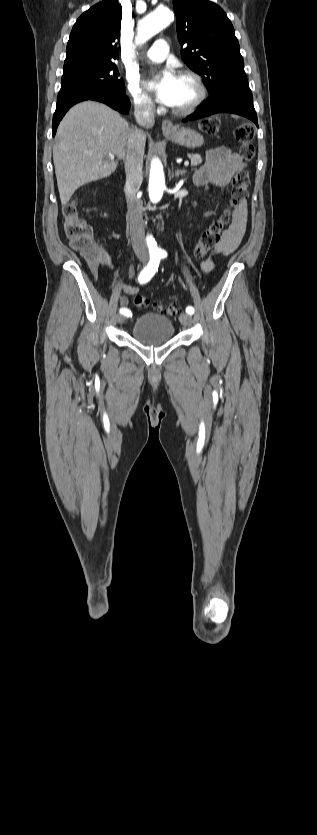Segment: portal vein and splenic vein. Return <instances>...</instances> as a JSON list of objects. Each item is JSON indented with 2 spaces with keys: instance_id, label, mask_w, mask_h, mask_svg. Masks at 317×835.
Masks as SVG:
<instances>
[{
  "instance_id": "obj_1",
  "label": "portal vein and splenic vein",
  "mask_w": 317,
  "mask_h": 835,
  "mask_svg": "<svg viewBox=\"0 0 317 835\" xmlns=\"http://www.w3.org/2000/svg\"><path fill=\"white\" fill-rule=\"evenodd\" d=\"M109 157H110L112 160L115 158V157H114V155H112V154H109ZM184 165H185V166H188V165H189V161H185V162H184Z\"/></svg>"
}]
</instances>
